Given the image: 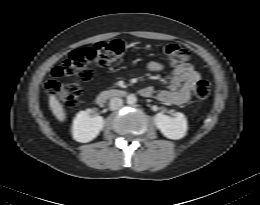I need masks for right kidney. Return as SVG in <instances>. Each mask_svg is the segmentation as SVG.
<instances>
[{"label": "right kidney", "mask_w": 260, "mask_h": 205, "mask_svg": "<svg viewBox=\"0 0 260 205\" xmlns=\"http://www.w3.org/2000/svg\"><path fill=\"white\" fill-rule=\"evenodd\" d=\"M104 124L102 116L91 117L89 109L80 111L73 121V139L81 143L92 141L103 129Z\"/></svg>", "instance_id": "obj_1"}]
</instances>
